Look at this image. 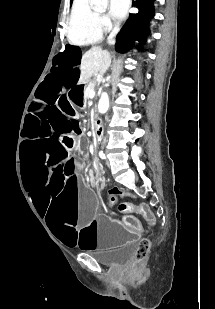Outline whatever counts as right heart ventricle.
<instances>
[{"label":"right heart ventricle","instance_id":"obj_1","mask_svg":"<svg viewBox=\"0 0 215 309\" xmlns=\"http://www.w3.org/2000/svg\"><path fill=\"white\" fill-rule=\"evenodd\" d=\"M67 40L73 46H85L88 42H100L103 31L97 27L88 9H75L67 24Z\"/></svg>","mask_w":215,"mask_h":309}]
</instances>
